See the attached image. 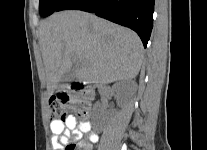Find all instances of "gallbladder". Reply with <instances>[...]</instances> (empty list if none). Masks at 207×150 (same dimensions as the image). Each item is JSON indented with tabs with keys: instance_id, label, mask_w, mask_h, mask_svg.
<instances>
[{
	"instance_id": "obj_1",
	"label": "gallbladder",
	"mask_w": 207,
	"mask_h": 150,
	"mask_svg": "<svg viewBox=\"0 0 207 150\" xmlns=\"http://www.w3.org/2000/svg\"><path fill=\"white\" fill-rule=\"evenodd\" d=\"M74 79V72H73V69L66 72L61 80L58 82L57 84V89H63L65 88L72 80Z\"/></svg>"
}]
</instances>
